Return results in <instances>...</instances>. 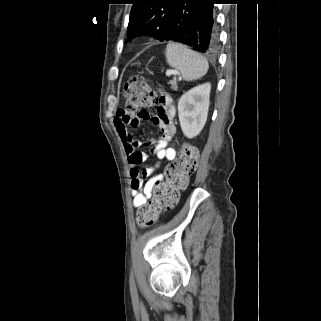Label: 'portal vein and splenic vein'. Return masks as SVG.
Returning a JSON list of instances; mask_svg holds the SVG:
<instances>
[{"label":"portal vein and splenic vein","instance_id":"obj_1","mask_svg":"<svg viewBox=\"0 0 321 321\" xmlns=\"http://www.w3.org/2000/svg\"><path fill=\"white\" fill-rule=\"evenodd\" d=\"M172 74H173V75H179V72H178V71H175V70H170V69L166 71V75H167V76H170V75H172Z\"/></svg>","mask_w":321,"mask_h":321}]
</instances>
